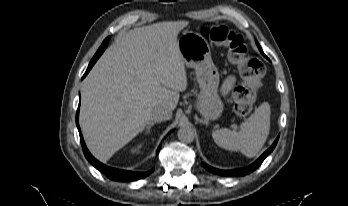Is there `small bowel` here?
I'll return each instance as SVG.
<instances>
[{
  "label": "small bowel",
  "mask_w": 348,
  "mask_h": 206,
  "mask_svg": "<svg viewBox=\"0 0 348 206\" xmlns=\"http://www.w3.org/2000/svg\"><path fill=\"white\" fill-rule=\"evenodd\" d=\"M236 79L234 76L228 77L222 85V93L224 95L228 94L232 87L234 86Z\"/></svg>",
  "instance_id": "1"
}]
</instances>
